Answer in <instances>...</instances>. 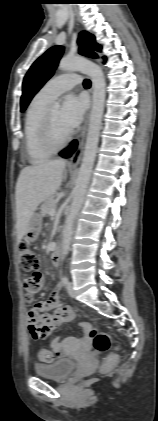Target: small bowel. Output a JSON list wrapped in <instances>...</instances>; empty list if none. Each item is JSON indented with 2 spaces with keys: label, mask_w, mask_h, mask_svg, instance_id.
I'll list each match as a JSON object with an SVG mask.
<instances>
[{
  "label": "small bowel",
  "mask_w": 158,
  "mask_h": 421,
  "mask_svg": "<svg viewBox=\"0 0 158 421\" xmlns=\"http://www.w3.org/2000/svg\"><path fill=\"white\" fill-rule=\"evenodd\" d=\"M39 274L40 288L44 279ZM62 285L58 284L51 295L40 302H37L28 313V330L35 340H45L51 332L62 323L70 322L75 317L72 307L64 305L61 301ZM53 311V313H49ZM81 327L87 328L86 323H82ZM75 342L73 337H56L51 342V348L59 355L63 356L68 347Z\"/></svg>",
  "instance_id": "small-bowel-1"
}]
</instances>
